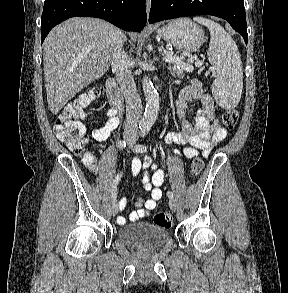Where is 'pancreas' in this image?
<instances>
[{
    "label": "pancreas",
    "instance_id": "pancreas-1",
    "mask_svg": "<svg viewBox=\"0 0 288 293\" xmlns=\"http://www.w3.org/2000/svg\"><path fill=\"white\" fill-rule=\"evenodd\" d=\"M168 70L170 71V73L173 75V76H177L179 78H182L183 77V73H184V69L183 68H178V66L176 64H173V63H169L168 64Z\"/></svg>",
    "mask_w": 288,
    "mask_h": 293
}]
</instances>
